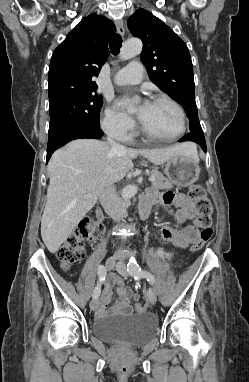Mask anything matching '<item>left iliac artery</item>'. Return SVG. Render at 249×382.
<instances>
[{
  "mask_svg": "<svg viewBox=\"0 0 249 382\" xmlns=\"http://www.w3.org/2000/svg\"><path fill=\"white\" fill-rule=\"evenodd\" d=\"M127 271L128 273L134 277L135 280H139L140 278H145L150 284L155 283L154 276L145 271L142 270L139 266V264L136 262L135 258L131 257L128 264H127Z\"/></svg>",
  "mask_w": 249,
  "mask_h": 382,
  "instance_id": "1",
  "label": "left iliac artery"
}]
</instances>
